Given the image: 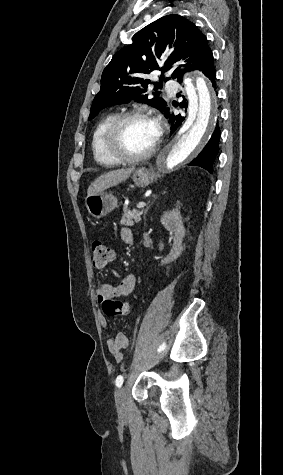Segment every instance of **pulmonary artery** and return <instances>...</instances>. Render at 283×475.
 <instances>
[{
  "label": "pulmonary artery",
  "mask_w": 283,
  "mask_h": 475,
  "mask_svg": "<svg viewBox=\"0 0 283 475\" xmlns=\"http://www.w3.org/2000/svg\"><path fill=\"white\" fill-rule=\"evenodd\" d=\"M165 87L167 88L166 94L168 96H175L177 94V89H176L177 87H176L175 82H169L165 84Z\"/></svg>",
  "instance_id": "pulmonary-artery-1"
}]
</instances>
